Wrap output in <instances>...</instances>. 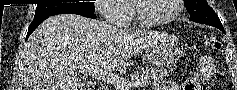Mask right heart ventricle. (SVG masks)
I'll use <instances>...</instances> for the list:
<instances>
[{"label": "right heart ventricle", "mask_w": 237, "mask_h": 90, "mask_svg": "<svg viewBox=\"0 0 237 90\" xmlns=\"http://www.w3.org/2000/svg\"><path fill=\"white\" fill-rule=\"evenodd\" d=\"M129 28H136L135 26L129 27Z\"/></svg>", "instance_id": "1"}]
</instances>
